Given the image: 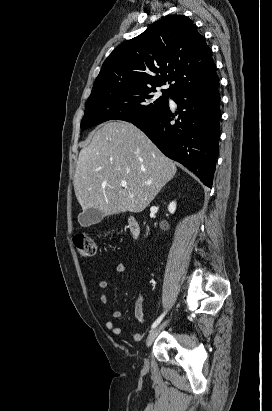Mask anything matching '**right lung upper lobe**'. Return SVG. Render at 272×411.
<instances>
[{
  "label": "right lung upper lobe",
  "instance_id": "1",
  "mask_svg": "<svg viewBox=\"0 0 272 411\" xmlns=\"http://www.w3.org/2000/svg\"><path fill=\"white\" fill-rule=\"evenodd\" d=\"M211 49L192 21L162 18L139 36L120 44L105 60L92 92L124 86L171 83V95L210 84L217 78Z\"/></svg>",
  "mask_w": 272,
  "mask_h": 411
}]
</instances>
